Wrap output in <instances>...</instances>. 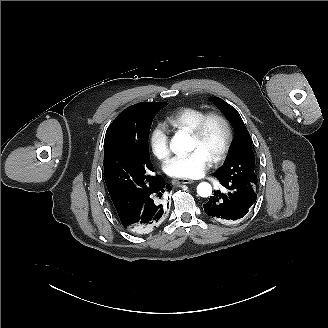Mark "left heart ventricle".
Here are the masks:
<instances>
[{
	"instance_id": "b2bd125f",
	"label": "left heart ventricle",
	"mask_w": 328,
	"mask_h": 328,
	"mask_svg": "<svg viewBox=\"0 0 328 328\" xmlns=\"http://www.w3.org/2000/svg\"><path fill=\"white\" fill-rule=\"evenodd\" d=\"M226 128L218 120L211 121L200 140L194 139L190 135L189 150L199 149L212 160L223 148L226 140Z\"/></svg>"
}]
</instances>
